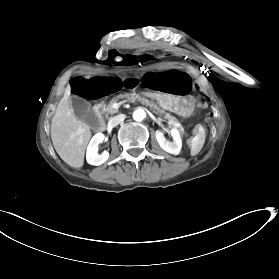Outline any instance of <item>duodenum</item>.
<instances>
[{
  "label": "duodenum",
  "mask_w": 279,
  "mask_h": 279,
  "mask_svg": "<svg viewBox=\"0 0 279 279\" xmlns=\"http://www.w3.org/2000/svg\"><path fill=\"white\" fill-rule=\"evenodd\" d=\"M142 96L144 98H148V99H151V98L152 99H157L159 97V94L157 92L144 91L142 93ZM92 107H93L94 112L96 113V115H97V117L99 118V121H100V125L96 128V132L98 134H101L107 126L106 117L104 116V113L101 110L102 107H103V104H102L101 101L96 100V101L93 102Z\"/></svg>",
  "instance_id": "duodenum-1"
}]
</instances>
